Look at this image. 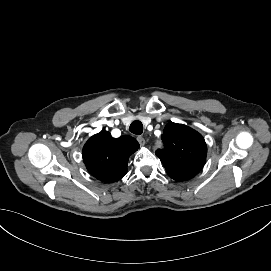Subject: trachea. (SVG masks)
I'll use <instances>...</instances> for the list:
<instances>
[{"label":"trachea","instance_id":"obj_1","mask_svg":"<svg viewBox=\"0 0 271 271\" xmlns=\"http://www.w3.org/2000/svg\"><path fill=\"white\" fill-rule=\"evenodd\" d=\"M129 130L136 134V135H140L143 132V124L141 121L139 120H135L130 124Z\"/></svg>","mask_w":271,"mask_h":271}]
</instances>
